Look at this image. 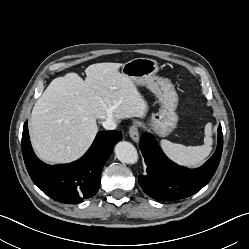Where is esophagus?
I'll use <instances>...</instances> for the list:
<instances>
[{"instance_id":"1","label":"esophagus","mask_w":249,"mask_h":249,"mask_svg":"<svg viewBox=\"0 0 249 249\" xmlns=\"http://www.w3.org/2000/svg\"><path fill=\"white\" fill-rule=\"evenodd\" d=\"M129 135L131 137V139L135 142L139 141L140 135H139V129H138V125L137 124H133L130 128H129Z\"/></svg>"}]
</instances>
